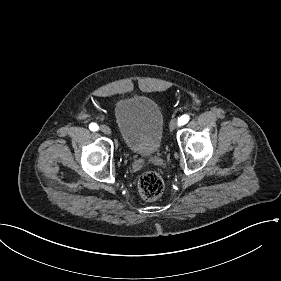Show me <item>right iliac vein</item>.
<instances>
[{
  "instance_id": "1",
  "label": "right iliac vein",
  "mask_w": 281,
  "mask_h": 281,
  "mask_svg": "<svg viewBox=\"0 0 281 281\" xmlns=\"http://www.w3.org/2000/svg\"><path fill=\"white\" fill-rule=\"evenodd\" d=\"M100 130H101V132H103L106 135H110L111 134V129L108 126H106V125H101L100 126Z\"/></svg>"
}]
</instances>
